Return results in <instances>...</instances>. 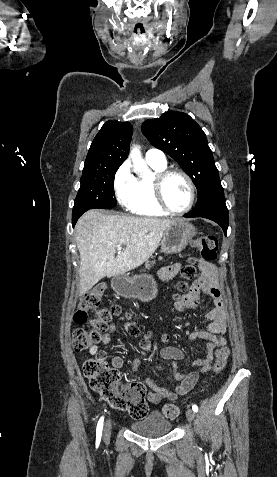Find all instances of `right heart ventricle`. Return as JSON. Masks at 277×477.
I'll list each match as a JSON object with an SVG mask.
<instances>
[{
  "label": "right heart ventricle",
  "instance_id": "e07e8e85",
  "mask_svg": "<svg viewBox=\"0 0 277 477\" xmlns=\"http://www.w3.org/2000/svg\"><path fill=\"white\" fill-rule=\"evenodd\" d=\"M151 173L135 178L133 194L126 205L135 215L143 217H163L166 213L158 206L153 192V178L155 174L166 169V165L147 162Z\"/></svg>",
  "mask_w": 277,
  "mask_h": 477
}]
</instances>
